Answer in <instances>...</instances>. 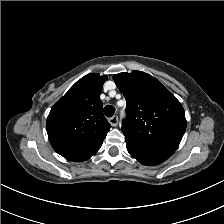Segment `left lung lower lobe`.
Masks as SVG:
<instances>
[{
	"mask_svg": "<svg viewBox=\"0 0 224 224\" xmlns=\"http://www.w3.org/2000/svg\"><path fill=\"white\" fill-rule=\"evenodd\" d=\"M128 152L132 157L145 165H157L167 160L172 154L155 148L125 140Z\"/></svg>",
	"mask_w": 224,
	"mask_h": 224,
	"instance_id": "obj_1",
	"label": "left lung lower lobe"
}]
</instances>
